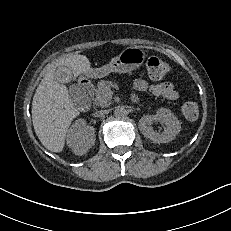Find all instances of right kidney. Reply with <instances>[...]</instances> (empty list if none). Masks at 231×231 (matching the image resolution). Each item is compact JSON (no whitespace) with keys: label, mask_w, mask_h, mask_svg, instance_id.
I'll return each mask as SVG.
<instances>
[{"label":"right kidney","mask_w":231,"mask_h":231,"mask_svg":"<svg viewBox=\"0 0 231 231\" xmlns=\"http://www.w3.org/2000/svg\"><path fill=\"white\" fill-rule=\"evenodd\" d=\"M95 143V129L88 126L84 119L76 120L67 134V145L75 155L82 156Z\"/></svg>","instance_id":"obj_1"}]
</instances>
